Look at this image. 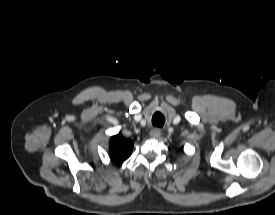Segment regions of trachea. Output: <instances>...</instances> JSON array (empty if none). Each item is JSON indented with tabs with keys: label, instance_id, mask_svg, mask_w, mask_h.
<instances>
[{
	"label": "trachea",
	"instance_id": "1",
	"mask_svg": "<svg viewBox=\"0 0 275 215\" xmlns=\"http://www.w3.org/2000/svg\"><path fill=\"white\" fill-rule=\"evenodd\" d=\"M165 122V117L161 112H155L152 116V124L156 127H162Z\"/></svg>",
	"mask_w": 275,
	"mask_h": 215
}]
</instances>
